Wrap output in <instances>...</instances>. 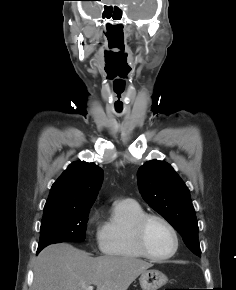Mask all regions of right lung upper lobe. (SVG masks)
<instances>
[{
	"label": "right lung upper lobe",
	"instance_id": "cb5924a9",
	"mask_svg": "<svg viewBox=\"0 0 236 290\" xmlns=\"http://www.w3.org/2000/svg\"><path fill=\"white\" fill-rule=\"evenodd\" d=\"M103 171L94 163L75 161L52 185L47 211H88L102 183Z\"/></svg>",
	"mask_w": 236,
	"mask_h": 290
}]
</instances>
